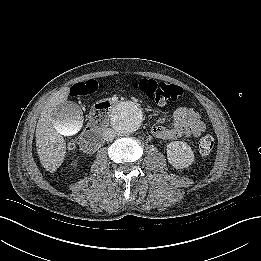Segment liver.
Here are the masks:
<instances>
[{
  "instance_id": "obj_1",
  "label": "liver",
  "mask_w": 261,
  "mask_h": 261,
  "mask_svg": "<svg viewBox=\"0 0 261 261\" xmlns=\"http://www.w3.org/2000/svg\"><path fill=\"white\" fill-rule=\"evenodd\" d=\"M69 87H63L51 95L43 104L36 126V147L40 163L49 172H55L63 163L66 155V143L63 135L78 132L83 123V113L76 104L77 111L73 120V130L66 133L64 126L55 117L58 105L66 102Z\"/></svg>"
}]
</instances>
